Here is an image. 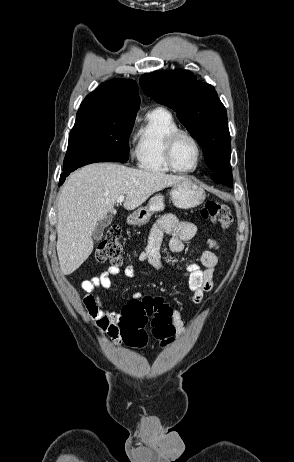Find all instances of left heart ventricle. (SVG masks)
<instances>
[{
  "instance_id": "1",
  "label": "left heart ventricle",
  "mask_w": 294,
  "mask_h": 462,
  "mask_svg": "<svg viewBox=\"0 0 294 462\" xmlns=\"http://www.w3.org/2000/svg\"><path fill=\"white\" fill-rule=\"evenodd\" d=\"M173 158L178 168H193L197 159V151L194 144L186 137L179 138L174 146Z\"/></svg>"
}]
</instances>
